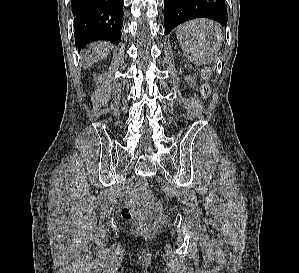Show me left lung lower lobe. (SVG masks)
Returning a JSON list of instances; mask_svg holds the SVG:
<instances>
[{
  "mask_svg": "<svg viewBox=\"0 0 299 273\" xmlns=\"http://www.w3.org/2000/svg\"><path fill=\"white\" fill-rule=\"evenodd\" d=\"M201 17L226 26L228 16L225 0H164L166 34L183 22Z\"/></svg>",
  "mask_w": 299,
  "mask_h": 273,
  "instance_id": "left-lung-lower-lobe-1",
  "label": "left lung lower lobe"
}]
</instances>
